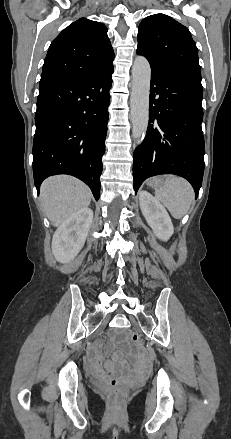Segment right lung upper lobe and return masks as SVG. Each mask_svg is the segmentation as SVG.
Segmentation results:
<instances>
[{"label": "right lung upper lobe", "mask_w": 231, "mask_h": 439, "mask_svg": "<svg viewBox=\"0 0 231 439\" xmlns=\"http://www.w3.org/2000/svg\"><path fill=\"white\" fill-rule=\"evenodd\" d=\"M114 51L104 24L80 18L51 43L40 88L86 79L110 66Z\"/></svg>", "instance_id": "obj_1"}]
</instances>
